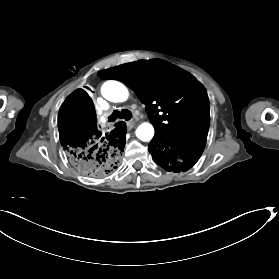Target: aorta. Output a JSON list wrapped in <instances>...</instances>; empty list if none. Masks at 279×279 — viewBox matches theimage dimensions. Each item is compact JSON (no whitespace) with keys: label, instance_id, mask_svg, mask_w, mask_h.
Segmentation results:
<instances>
[{"label":"aorta","instance_id":"aorta-1","mask_svg":"<svg viewBox=\"0 0 279 279\" xmlns=\"http://www.w3.org/2000/svg\"><path fill=\"white\" fill-rule=\"evenodd\" d=\"M101 93L111 102H124L128 99V89L116 80H109L102 85ZM136 136L142 141H149L154 136V127L150 123H142L136 129Z\"/></svg>","mask_w":279,"mask_h":279}]
</instances>
